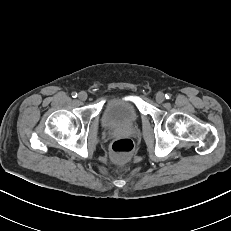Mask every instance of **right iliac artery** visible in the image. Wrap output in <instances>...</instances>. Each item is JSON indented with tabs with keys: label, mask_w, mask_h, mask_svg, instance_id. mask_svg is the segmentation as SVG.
Here are the masks:
<instances>
[{
	"label": "right iliac artery",
	"mask_w": 231,
	"mask_h": 231,
	"mask_svg": "<svg viewBox=\"0 0 231 231\" xmlns=\"http://www.w3.org/2000/svg\"><path fill=\"white\" fill-rule=\"evenodd\" d=\"M71 95H72L73 98H76L78 94L76 92H72Z\"/></svg>",
	"instance_id": "right-iliac-artery-1"
}]
</instances>
